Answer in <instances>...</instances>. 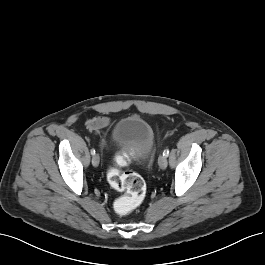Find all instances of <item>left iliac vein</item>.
<instances>
[{"instance_id": "obj_1", "label": "left iliac vein", "mask_w": 265, "mask_h": 265, "mask_svg": "<svg viewBox=\"0 0 265 265\" xmlns=\"http://www.w3.org/2000/svg\"><path fill=\"white\" fill-rule=\"evenodd\" d=\"M158 164H159V167L161 169H166L167 165H168V161H167V158L163 155H161L158 159Z\"/></svg>"}]
</instances>
